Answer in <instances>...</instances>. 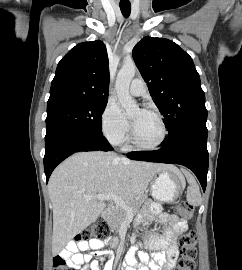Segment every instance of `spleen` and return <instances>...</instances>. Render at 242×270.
<instances>
[{
	"instance_id": "spleen-1",
	"label": "spleen",
	"mask_w": 242,
	"mask_h": 270,
	"mask_svg": "<svg viewBox=\"0 0 242 270\" xmlns=\"http://www.w3.org/2000/svg\"><path fill=\"white\" fill-rule=\"evenodd\" d=\"M185 176L189 183L186 195L187 201L191 205L198 206L201 204V193L199 190V186L197 185L195 179L189 173H185Z\"/></svg>"
}]
</instances>
